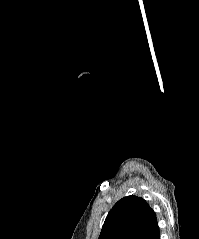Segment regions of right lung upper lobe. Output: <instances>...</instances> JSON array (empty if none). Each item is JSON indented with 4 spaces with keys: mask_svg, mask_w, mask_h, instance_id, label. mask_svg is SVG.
Segmentation results:
<instances>
[{
    "mask_svg": "<svg viewBox=\"0 0 199 239\" xmlns=\"http://www.w3.org/2000/svg\"><path fill=\"white\" fill-rule=\"evenodd\" d=\"M156 225L155 212L146 201L128 196L110 210L98 239H142Z\"/></svg>",
    "mask_w": 199,
    "mask_h": 239,
    "instance_id": "obj_1",
    "label": "right lung upper lobe"
}]
</instances>
